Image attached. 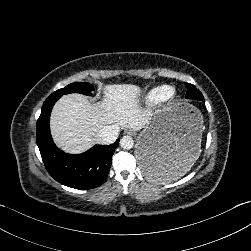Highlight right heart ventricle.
Masks as SVG:
<instances>
[{
  "mask_svg": "<svg viewBox=\"0 0 251 251\" xmlns=\"http://www.w3.org/2000/svg\"><path fill=\"white\" fill-rule=\"evenodd\" d=\"M175 94V87L168 84H162L149 89L144 97L143 104L146 107L153 108L167 102Z\"/></svg>",
  "mask_w": 251,
  "mask_h": 251,
  "instance_id": "e07e8e85",
  "label": "right heart ventricle"
}]
</instances>
